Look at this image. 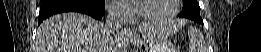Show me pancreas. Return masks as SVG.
Here are the masks:
<instances>
[{"label": "pancreas", "mask_w": 261, "mask_h": 52, "mask_svg": "<svg viewBox=\"0 0 261 52\" xmlns=\"http://www.w3.org/2000/svg\"><path fill=\"white\" fill-rule=\"evenodd\" d=\"M170 52H174L173 48L170 49Z\"/></svg>", "instance_id": "obj_1"}]
</instances>
